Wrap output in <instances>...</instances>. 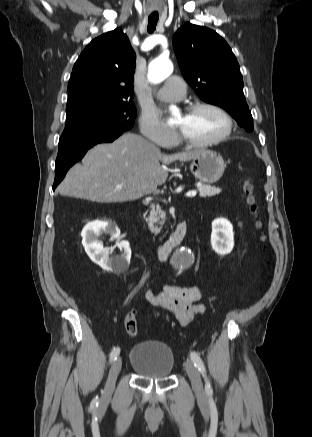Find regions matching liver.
Instances as JSON below:
<instances>
[{"instance_id": "liver-1", "label": "liver", "mask_w": 312, "mask_h": 437, "mask_svg": "<svg viewBox=\"0 0 312 437\" xmlns=\"http://www.w3.org/2000/svg\"><path fill=\"white\" fill-rule=\"evenodd\" d=\"M199 152L163 154L141 136L126 133L113 143L90 149L82 163L68 171L58 191L63 196L100 203L133 201L165 183L168 177L165 165L176 160L189 161Z\"/></svg>"}]
</instances>
